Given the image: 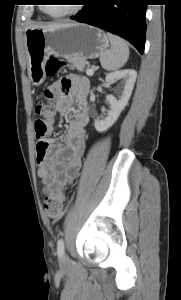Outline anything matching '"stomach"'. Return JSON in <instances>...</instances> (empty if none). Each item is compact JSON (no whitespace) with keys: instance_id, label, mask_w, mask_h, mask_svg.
<instances>
[{"instance_id":"stomach-1","label":"stomach","mask_w":181,"mask_h":300,"mask_svg":"<svg viewBox=\"0 0 181 300\" xmlns=\"http://www.w3.org/2000/svg\"><path fill=\"white\" fill-rule=\"evenodd\" d=\"M28 72L34 84L45 79V62L50 55L78 58L86 62L107 50L109 39L101 29L83 23H69L52 29L30 28L25 32Z\"/></svg>"}]
</instances>
